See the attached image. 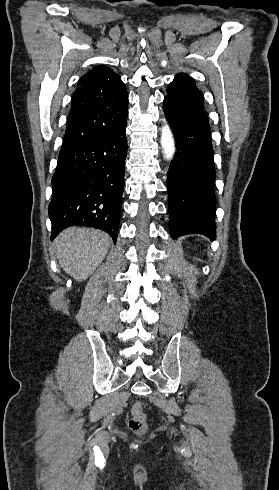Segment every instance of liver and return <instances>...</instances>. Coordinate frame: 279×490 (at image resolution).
Segmentation results:
<instances>
[{"mask_svg": "<svg viewBox=\"0 0 279 490\" xmlns=\"http://www.w3.org/2000/svg\"><path fill=\"white\" fill-rule=\"evenodd\" d=\"M110 244V236L101 230L67 228L57 236L54 246L64 272L76 282H83L102 264Z\"/></svg>", "mask_w": 279, "mask_h": 490, "instance_id": "liver-1", "label": "liver"}]
</instances>
